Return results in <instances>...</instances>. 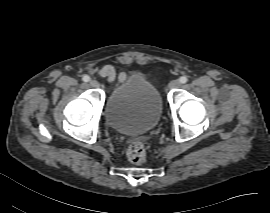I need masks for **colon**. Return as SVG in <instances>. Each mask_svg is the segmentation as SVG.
<instances>
[{"instance_id": "colon-1", "label": "colon", "mask_w": 270, "mask_h": 213, "mask_svg": "<svg viewBox=\"0 0 270 213\" xmlns=\"http://www.w3.org/2000/svg\"><path fill=\"white\" fill-rule=\"evenodd\" d=\"M126 157L132 164H140L146 158V148L140 139H134L130 142L126 150Z\"/></svg>"}]
</instances>
